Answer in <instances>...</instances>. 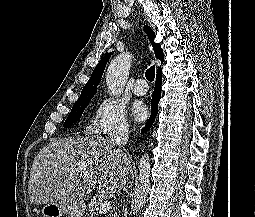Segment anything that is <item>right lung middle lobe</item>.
<instances>
[{
	"label": "right lung middle lobe",
	"instance_id": "obj_1",
	"mask_svg": "<svg viewBox=\"0 0 255 217\" xmlns=\"http://www.w3.org/2000/svg\"><path fill=\"white\" fill-rule=\"evenodd\" d=\"M94 95L95 92L80 95L79 99L73 105L72 110L63 125L64 127L71 126L81 117L84 109L87 107Z\"/></svg>",
	"mask_w": 255,
	"mask_h": 217
}]
</instances>
